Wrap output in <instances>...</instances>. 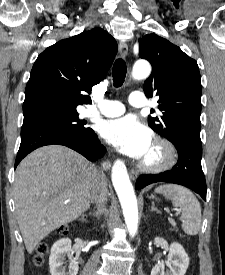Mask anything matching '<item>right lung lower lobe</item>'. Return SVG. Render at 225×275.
Returning <instances> with one entry per match:
<instances>
[{"label":"right lung lower lobe","mask_w":225,"mask_h":275,"mask_svg":"<svg viewBox=\"0 0 225 275\" xmlns=\"http://www.w3.org/2000/svg\"><path fill=\"white\" fill-rule=\"evenodd\" d=\"M51 144L67 146L90 161H96L106 152L105 147L100 143L94 131L80 134L58 125L33 122L22 125L21 144L16 157L15 167L31 151Z\"/></svg>","instance_id":"98d812e1"}]
</instances>
